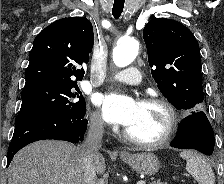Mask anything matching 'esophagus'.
Listing matches in <instances>:
<instances>
[{"label": "esophagus", "mask_w": 224, "mask_h": 184, "mask_svg": "<svg viewBox=\"0 0 224 184\" xmlns=\"http://www.w3.org/2000/svg\"><path fill=\"white\" fill-rule=\"evenodd\" d=\"M127 152L126 151H121V155H126Z\"/></svg>", "instance_id": "esophagus-1"}]
</instances>
